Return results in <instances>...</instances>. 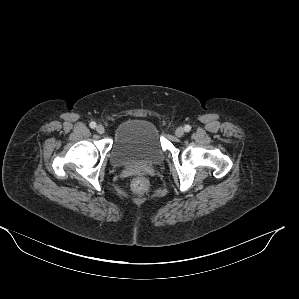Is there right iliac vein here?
I'll use <instances>...</instances> for the list:
<instances>
[{"label": "right iliac vein", "mask_w": 299, "mask_h": 299, "mask_svg": "<svg viewBox=\"0 0 299 299\" xmlns=\"http://www.w3.org/2000/svg\"><path fill=\"white\" fill-rule=\"evenodd\" d=\"M96 131H97V133H99V134H103V133L105 132V128H104L103 125H98V126L96 127Z\"/></svg>", "instance_id": "obj_1"}]
</instances>
